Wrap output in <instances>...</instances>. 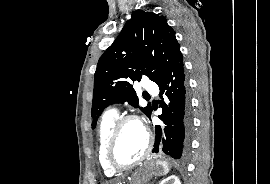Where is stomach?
Here are the masks:
<instances>
[{
    "instance_id": "obj_1",
    "label": "stomach",
    "mask_w": 270,
    "mask_h": 184,
    "mask_svg": "<svg viewBox=\"0 0 270 184\" xmlns=\"http://www.w3.org/2000/svg\"><path fill=\"white\" fill-rule=\"evenodd\" d=\"M170 165L164 161L146 162L142 167L137 169L130 177L129 183L119 184H146L153 175H165L168 173Z\"/></svg>"
}]
</instances>
